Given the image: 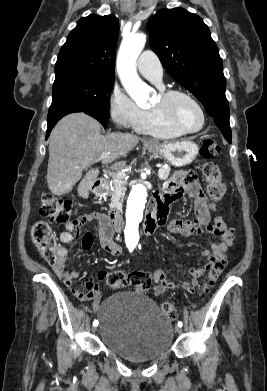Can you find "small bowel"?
<instances>
[{
    "label": "small bowel",
    "mask_w": 267,
    "mask_h": 391,
    "mask_svg": "<svg viewBox=\"0 0 267 391\" xmlns=\"http://www.w3.org/2000/svg\"><path fill=\"white\" fill-rule=\"evenodd\" d=\"M189 194L194 200V219L182 220L173 219L168 223L167 229L170 233L181 236H190L203 232L204 230L219 237V241L213 243L211 249H204L202 256L205 258V265L199 268H190L189 281L178 284L170 282L165 273L157 270L153 273V294L160 295L175 288H181L188 293H194L199 283V278L218 261L232 244L234 230L228 227L221 217H216L211 224V211L209 203L197 182V176L192 171H179L164 184L162 191L155 196V206L162 215L164 222L169 213L172 203L180 199L184 194ZM97 221L99 224L98 236L102 249L111 256H119L122 247L114 240V232L111 229L108 219L104 214L88 213L80 216L74 221L66 222L64 230L59 235L61 245L57 248L58 260L53 265L56 275L63 280L66 286L71 287L74 295L80 299L92 300L93 305L98 308L101 304V294L96 280L108 278L111 274L105 271L93 273L85 278L84 284L88 292L85 294L72 287L74 279L79 277L75 269L66 270L65 264L68 260L69 250L64 244L71 243L76 235H79L82 227L89 222ZM93 235L86 232L82 237V248L89 250L93 245ZM180 266V264H177Z\"/></svg>",
    "instance_id": "1"
}]
</instances>
